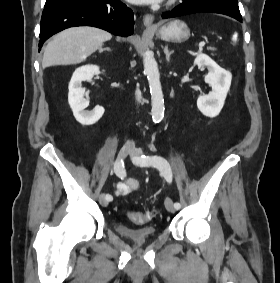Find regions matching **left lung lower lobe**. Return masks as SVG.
Returning a JSON list of instances; mask_svg holds the SVG:
<instances>
[{
    "label": "left lung lower lobe",
    "instance_id": "left-lung-lower-lobe-1",
    "mask_svg": "<svg viewBox=\"0 0 280 283\" xmlns=\"http://www.w3.org/2000/svg\"><path fill=\"white\" fill-rule=\"evenodd\" d=\"M198 12L225 14V15L233 17L236 20L242 22L241 14H237L225 7L211 4V3H206V2H185L183 1V3L176 6L172 11L163 13L162 18L164 19L173 18V17H178V16L191 14V13H198Z\"/></svg>",
    "mask_w": 280,
    "mask_h": 283
}]
</instances>
